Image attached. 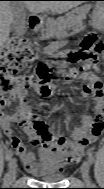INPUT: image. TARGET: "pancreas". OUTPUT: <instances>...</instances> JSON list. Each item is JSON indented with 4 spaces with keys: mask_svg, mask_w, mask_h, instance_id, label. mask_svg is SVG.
<instances>
[{
    "mask_svg": "<svg viewBox=\"0 0 104 189\" xmlns=\"http://www.w3.org/2000/svg\"><path fill=\"white\" fill-rule=\"evenodd\" d=\"M87 10V7H79L73 9L64 17H61L56 21L50 20L46 26V33L49 34V36L46 37L53 35L57 38L64 37L66 29L70 28L71 26H82V21L85 19Z\"/></svg>",
    "mask_w": 104,
    "mask_h": 189,
    "instance_id": "pancreas-1",
    "label": "pancreas"
}]
</instances>
